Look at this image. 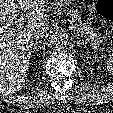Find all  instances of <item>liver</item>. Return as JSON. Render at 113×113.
<instances>
[{
    "instance_id": "obj_1",
    "label": "liver",
    "mask_w": 113,
    "mask_h": 113,
    "mask_svg": "<svg viewBox=\"0 0 113 113\" xmlns=\"http://www.w3.org/2000/svg\"><path fill=\"white\" fill-rule=\"evenodd\" d=\"M29 14L26 25L18 28V11ZM44 0H0V92L14 94L25 85L34 44L33 32L48 26Z\"/></svg>"
}]
</instances>
